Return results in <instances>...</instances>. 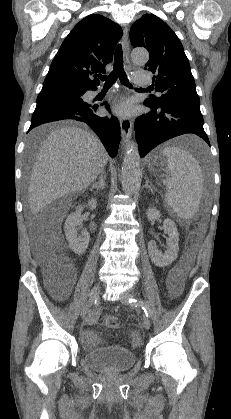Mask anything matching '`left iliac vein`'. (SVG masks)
<instances>
[{
	"label": "left iliac vein",
	"instance_id": "1",
	"mask_svg": "<svg viewBox=\"0 0 231 419\" xmlns=\"http://www.w3.org/2000/svg\"><path fill=\"white\" fill-rule=\"evenodd\" d=\"M130 297H131V295L129 293H123L120 300H121V302L123 304H126L127 305L128 304V299ZM143 327H144L145 330H149L150 329L151 323H150V320L148 318H145L144 319V321H143Z\"/></svg>",
	"mask_w": 231,
	"mask_h": 419
}]
</instances>
